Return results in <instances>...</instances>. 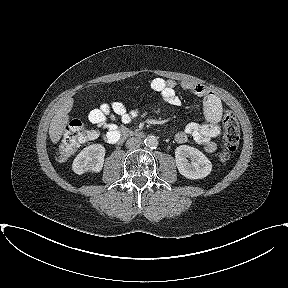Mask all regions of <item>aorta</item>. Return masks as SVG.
Wrapping results in <instances>:
<instances>
[{
  "mask_svg": "<svg viewBox=\"0 0 288 288\" xmlns=\"http://www.w3.org/2000/svg\"><path fill=\"white\" fill-rule=\"evenodd\" d=\"M144 144L148 148H156L158 146V139L155 136H147L144 139Z\"/></svg>",
  "mask_w": 288,
  "mask_h": 288,
  "instance_id": "1",
  "label": "aorta"
}]
</instances>
